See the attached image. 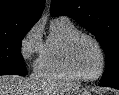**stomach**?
Segmentation results:
<instances>
[{
    "label": "stomach",
    "mask_w": 119,
    "mask_h": 95,
    "mask_svg": "<svg viewBox=\"0 0 119 95\" xmlns=\"http://www.w3.org/2000/svg\"><path fill=\"white\" fill-rule=\"evenodd\" d=\"M67 95H91V93L84 88H76Z\"/></svg>",
    "instance_id": "obj_1"
}]
</instances>
